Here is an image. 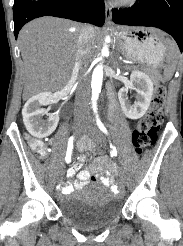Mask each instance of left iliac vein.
Listing matches in <instances>:
<instances>
[{
  "instance_id": "4c4485c4",
  "label": "left iliac vein",
  "mask_w": 183,
  "mask_h": 246,
  "mask_svg": "<svg viewBox=\"0 0 183 246\" xmlns=\"http://www.w3.org/2000/svg\"><path fill=\"white\" fill-rule=\"evenodd\" d=\"M85 130H87L89 133H91V135L93 136V138L97 142H99V143L103 142V137L92 120H88L86 122Z\"/></svg>"
}]
</instances>
